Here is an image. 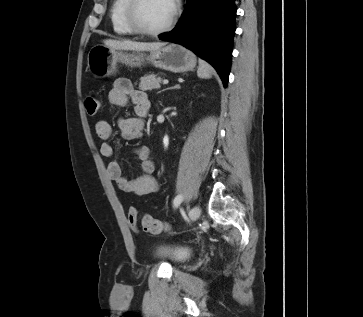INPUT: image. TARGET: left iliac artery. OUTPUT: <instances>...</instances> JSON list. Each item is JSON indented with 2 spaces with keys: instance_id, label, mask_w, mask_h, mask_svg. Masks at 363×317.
Here are the masks:
<instances>
[{
  "instance_id": "1",
  "label": "left iliac artery",
  "mask_w": 363,
  "mask_h": 317,
  "mask_svg": "<svg viewBox=\"0 0 363 317\" xmlns=\"http://www.w3.org/2000/svg\"><path fill=\"white\" fill-rule=\"evenodd\" d=\"M182 201H183V196L182 195L176 196L175 199L173 200L174 207H178L181 204Z\"/></svg>"
}]
</instances>
